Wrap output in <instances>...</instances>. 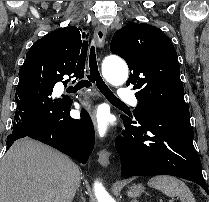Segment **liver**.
<instances>
[{
    "mask_svg": "<svg viewBox=\"0 0 209 202\" xmlns=\"http://www.w3.org/2000/svg\"><path fill=\"white\" fill-rule=\"evenodd\" d=\"M80 176L78 166L65 155L20 139L0 164V202H72Z\"/></svg>",
    "mask_w": 209,
    "mask_h": 202,
    "instance_id": "liver-1",
    "label": "liver"
}]
</instances>
